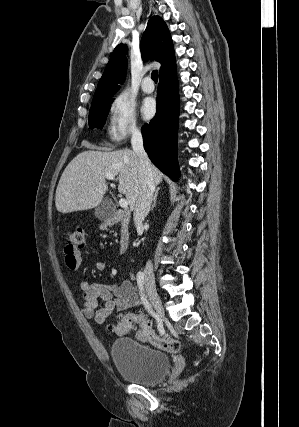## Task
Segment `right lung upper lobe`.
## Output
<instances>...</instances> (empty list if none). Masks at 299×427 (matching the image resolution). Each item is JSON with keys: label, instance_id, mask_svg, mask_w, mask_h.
Segmentation results:
<instances>
[{"label": "right lung upper lobe", "instance_id": "right-lung-upper-lobe-1", "mask_svg": "<svg viewBox=\"0 0 299 427\" xmlns=\"http://www.w3.org/2000/svg\"><path fill=\"white\" fill-rule=\"evenodd\" d=\"M127 47L119 44L113 51L111 58L99 80L93 100L112 96L125 80L127 67ZM141 52L144 58L161 63L159 77L176 70L173 42L169 29L164 20L153 16L147 24L141 39Z\"/></svg>", "mask_w": 299, "mask_h": 427}]
</instances>
